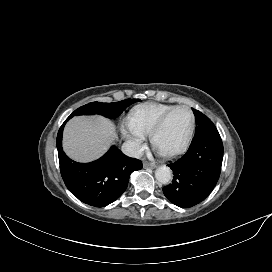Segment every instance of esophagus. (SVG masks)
I'll use <instances>...</instances> for the list:
<instances>
[{"label": "esophagus", "instance_id": "esophagus-1", "mask_svg": "<svg viewBox=\"0 0 272 272\" xmlns=\"http://www.w3.org/2000/svg\"><path fill=\"white\" fill-rule=\"evenodd\" d=\"M143 166L144 168H150V169H154L156 167L155 163H149V162H144Z\"/></svg>", "mask_w": 272, "mask_h": 272}]
</instances>
